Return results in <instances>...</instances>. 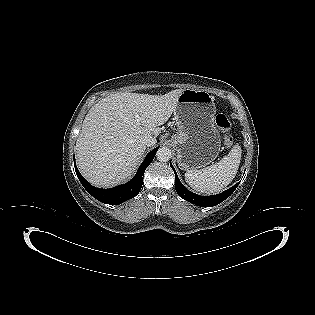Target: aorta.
I'll return each mask as SVG.
<instances>
[{"label":"aorta","mask_w":315,"mask_h":315,"mask_svg":"<svg viewBox=\"0 0 315 315\" xmlns=\"http://www.w3.org/2000/svg\"><path fill=\"white\" fill-rule=\"evenodd\" d=\"M172 156V152L167 147H161L158 149L156 157L160 162H168Z\"/></svg>","instance_id":"1"}]
</instances>
